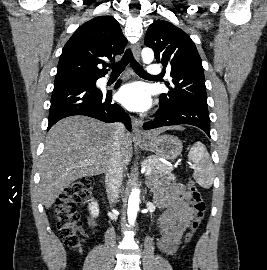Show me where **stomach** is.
Wrapping results in <instances>:
<instances>
[{
	"mask_svg": "<svg viewBox=\"0 0 267 270\" xmlns=\"http://www.w3.org/2000/svg\"><path fill=\"white\" fill-rule=\"evenodd\" d=\"M146 150L154 152L158 157L170 160L177 158L182 152V142L173 135L164 134L146 136L142 142Z\"/></svg>",
	"mask_w": 267,
	"mask_h": 270,
	"instance_id": "1",
	"label": "stomach"
}]
</instances>
